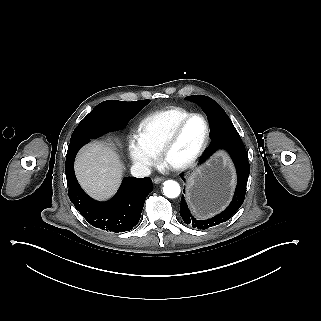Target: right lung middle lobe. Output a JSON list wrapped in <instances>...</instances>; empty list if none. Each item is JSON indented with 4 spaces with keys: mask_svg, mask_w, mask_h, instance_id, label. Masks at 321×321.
Instances as JSON below:
<instances>
[{
    "mask_svg": "<svg viewBox=\"0 0 321 321\" xmlns=\"http://www.w3.org/2000/svg\"><path fill=\"white\" fill-rule=\"evenodd\" d=\"M150 100H139L132 102L141 109L145 107ZM108 129L102 120L96 114V107L78 124L74 130L70 142L83 138H98L107 133Z\"/></svg>",
    "mask_w": 321,
    "mask_h": 321,
    "instance_id": "obj_1",
    "label": "right lung middle lobe"
}]
</instances>
